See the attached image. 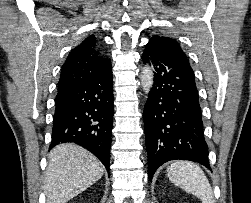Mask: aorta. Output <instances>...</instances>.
Returning a JSON list of instances; mask_svg holds the SVG:
<instances>
[{
    "label": "aorta",
    "mask_w": 251,
    "mask_h": 203,
    "mask_svg": "<svg viewBox=\"0 0 251 203\" xmlns=\"http://www.w3.org/2000/svg\"><path fill=\"white\" fill-rule=\"evenodd\" d=\"M140 80H141V85L143 88V91L148 94L153 86V82H154V74H153V70L150 66H145L142 69L141 72V76H140Z\"/></svg>",
    "instance_id": "762f6f07"
}]
</instances>
